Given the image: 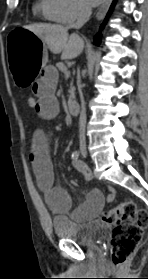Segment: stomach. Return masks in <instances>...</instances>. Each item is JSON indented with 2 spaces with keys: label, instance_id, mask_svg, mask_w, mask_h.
<instances>
[{
  "label": "stomach",
  "instance_id": "obj_1",
  "mask_svg": "<svg viewBox=\"0 0 148 279\" xmlns=\"http://www.w3.org/2000/svg\"><path fill=\"white\" fill-rule=\"evenodd\" d=\"M18 30H8L4 43L5 55L10 59V75H13V87L17 91H28V87H35V75L41 72V67L47 63V49L43 40L27 25H18Z\"/></svg>",
  "mask_w": 148,
  "mask_h": 279
}]
</instances>
